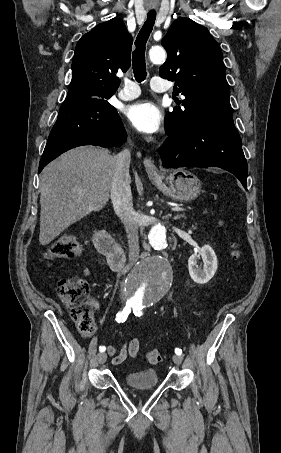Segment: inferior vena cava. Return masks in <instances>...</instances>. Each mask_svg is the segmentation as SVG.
Returning a JSON list of instances; mask_svg holds the SVG:
<instances>
[{"label": "inferior vena cava", "instance_id": "1", "mask_svg": "<svg viewBox=\"0 0 281 453\" xmlns=\"http://www.w3.org/2000/svg\"><path fill=\"white\" fill-rule=\"evenodd\" d=\"M114 158L116 160V170L112 182L111 200L114 210L120 216L127 233L129 261L130 263H136L140 249L138 241V218L133 208L130 188L131 178L129 166L131 152L129 148H125L122 152L115 154Z\"/></svg>", "mask_w": 281, "mask_h": 453}]
</instances>
